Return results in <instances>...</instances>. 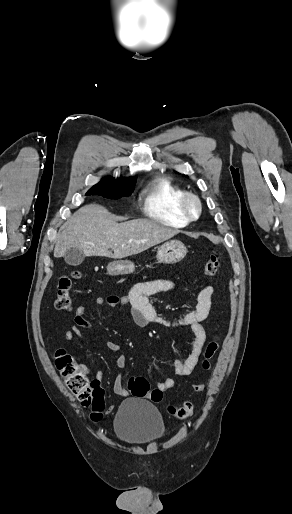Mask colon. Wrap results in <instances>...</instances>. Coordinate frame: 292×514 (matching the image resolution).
I'll return each mask as SVG.
<instances>
[{
	"mask_svg": "<svg viewBox=\"0 0 292 514\" xmlns=\"http://www.w3.org/2000/svg\"><path fill=\"white\" fill-rule=\"evenodd\" d=\"M221 264V251L217 250L211 254L203 265L205 277H211L217 273ZM82 277L80 271H75L71 275L63 277L58 282L55 298V307L58 311L66 313L73 305L71 289L73 282ZM220 340L214 338L207 343L203 353L202 367L204 370L211 368L212 359L219 350ZM55 365L59 373L66 381L68 389L76 396L77 400L84 407H92L90 417L101 420L104 417V396L103 389L98 381L90 379L84 372L79 361L73 354L57 350L55 355ZM127 387L132 391L135 398L150 399L159 403L163 399V392L160 389L151 388L149 381L144 376H134L127 380ZM193 389L197 392L204 390L203 384H196ZM194 406L186 401L180 405L169 404L167 411L169 414L178 418H186L193 413Z\"/></svg>",
	"mask_w": 292,
	"mask_h": 514,
	"instance_id": "colon-1",
	"label": "colon"
}]
</instances>
